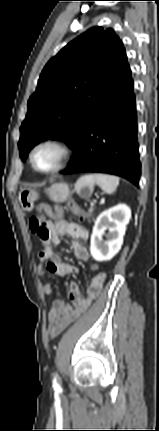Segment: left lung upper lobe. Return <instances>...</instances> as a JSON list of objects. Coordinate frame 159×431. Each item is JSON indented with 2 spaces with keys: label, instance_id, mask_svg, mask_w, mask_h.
Segmentation results:
<instances>
[{
  "label": "left lung upper lobe",
  "instance_id": "obj_1",
  "mask_svg": "<svg viewBox=\"0 0 159 431\" xmlns=\"http://www.w3.org/2000/svg\"><path fill=\"white\" fill-rule=\"evenodd\" d=\"M129 70L123 43L110 28L93 27L68 43L46 64L28 101L18 144L21 159L48 138L73 150Z\"/></svg>",
  "mask_w": 159,
  "mask_h": 431
}]
</instances>
